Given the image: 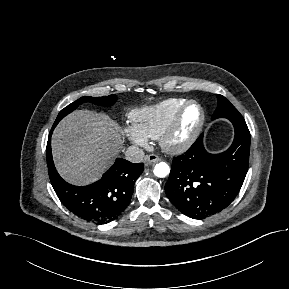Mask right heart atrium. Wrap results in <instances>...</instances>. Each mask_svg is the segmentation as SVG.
Returning <instances> with one entry per match:
<instances>
[{
	"instance_id": "obj_1",
	"label": "right heart atrium",
	"mask_w": 289,
	"mask_h": 289,
	"mask_svg": "<svg viewBox=\"0 0 289 289\" xmlns=\"http://www.w3.org/2000/svg\"><path fill=\"white\" fill-rule=\"evenodd\" d=\"M125 134L128 139L135 145L146 146L148 138L133 124L125 127Z\"/></svg>"
}]
</instances>
